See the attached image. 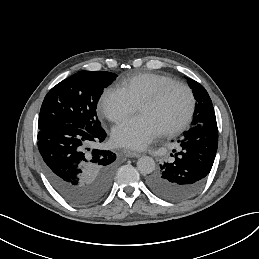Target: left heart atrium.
I'll return each instance as SVG.
<instances>
[{
	"instance_id": "left-heart-atrium-1",
	"label": "left heart atrium",
	"mask_w": 259,
	"mask_h": 259,
	"mask_svg": "<svg viewBox=\"0 0 259 259\" xmlns=\"http://www.w3.org/2000/svg\"><path fill=\"white\" fill-rule=\"evenodd\" d=\"M161 133L147 117L136 116L119 122L112 129V140L119 146L142 149Z\"/></svg>"
}]
</instances>
